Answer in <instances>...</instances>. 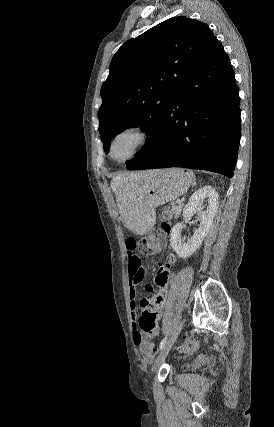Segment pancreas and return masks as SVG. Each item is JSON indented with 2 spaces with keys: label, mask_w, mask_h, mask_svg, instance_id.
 <instances>
[{
  "label": "pancreas",
  "mask_w": 274,
  "mask_h": 427,
  "mask_svg": "<svg viewBox=\"0 0 274 427\" xmlns=\"http://www.w3.org/2000/svg\"><path fill=\"white\" fill-rule=\"evenodd\" d=\"M170 206V212L174 214V217H178V215H180L182 212L183 204H174V202H171Z\"/></svg>",
  "instance_id": "obj_1"
}]
</instances>
